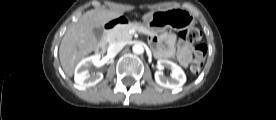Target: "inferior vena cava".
<instances>
[{"instance_id": "1", "label": "inferior vena cava", "mask_w": 276, "mask_h": 120, "mask_svg": "<svg viewBox=\"0 0 276 120\" xmlns=\"http://www.w3.org/2000/svg\"><path fill=\"white\" fill-rule=\"evenodd\" d=\"M124 46H125L124 42L113 43L109 46L108 53L111 55H116L124 48Z\"/></svg>"}]
</instances>
